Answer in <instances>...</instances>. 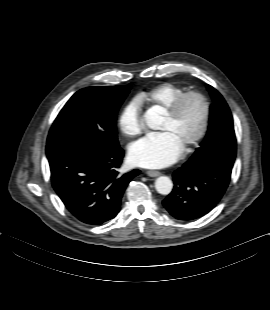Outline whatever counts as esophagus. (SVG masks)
I'll list each match as a JSON object with an SVG mask.
<instances>
[{
    "label": "esophagus",
    "instance_id": "34e87169",
    "mask_svg": "<svg viewBox=\"0 0 270 310\" xmlns=\"http://www.w3.org/2000/svg\"><path fill=\"white\" fill-rule=\"evenodd\" d=\"M148 176L150 177H158L160 175V172L158 171H153V170H149L146 172Z\"/></svg>",
    "mask_w": 270,
    "mask_h": 310
}]
</instances>
